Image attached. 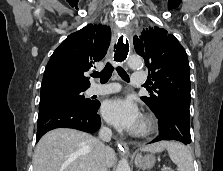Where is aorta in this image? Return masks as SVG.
Listing matches in <instances>:
<instances>
[{
  "instance_id": "1",
  "label": "aorta",
  "mask_w": 223,
  "mask_h": 171,
  "mask_svg": "<svg viewBox=\"0 0 223 171\" xmlns=\"http://www.w3.org/2000/svg\"><path fill=\"white\" fill-rule=\"evenodd\" d=\"M143 65L140 56H130L128 59V66L132 69L140 68ZM116 171H131L129 163L126 159H121L118 163Z\"/></svg>"
}]
</instances>
